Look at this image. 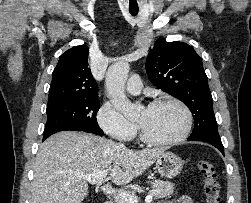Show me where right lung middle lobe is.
<instances>
[{"instance_id":"1","label":"right lung middle lobe","mask_w":251,"mask_h":203,"mask_svg":"<svg viewBox=\"0 0 251 203\" xmlns=\"http://www.w3.org/2000/svg\"><path fill=\"white\" fill-rule=\"evenodd\" d=\"M100 108L98 98L81 99L47 107L44 135L64 130H82L102 135L96 114Z\"/></svg>"}]
</instances>
